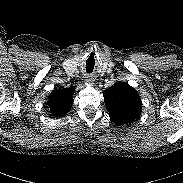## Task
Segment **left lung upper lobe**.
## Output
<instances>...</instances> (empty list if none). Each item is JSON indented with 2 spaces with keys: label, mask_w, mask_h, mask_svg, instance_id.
I'll use <instances>...</instances> for the list:
<instances>
[{
  "label": "left lung upper lobe",
  "mask_w": 183,
  "mask_h": 183,
  "mask_svg": "<svg viewBox=\"0 0 183 183\" xmlns=\"http://www.w3.org/2000/svg\"><path fill=\"white\" fill-rule=\"evenodd\" d=\"M103 95L109 117L114 123L129 125L141 115L140 96L128 83L116 82Z\"/></svg>",
  "instance_id": "left-lung-upper-lobe-1"
}]
</instances>
